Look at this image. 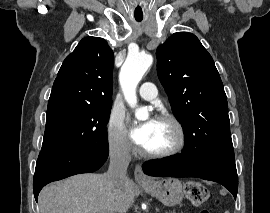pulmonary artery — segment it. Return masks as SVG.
<instances>
[{
	"instance_id": "1",
	"label": "pulmonary artery",
	"mask_w": 270,
	"mask_h": 213,
	"mask_svg": "<svg viewBox=\"0 0 270 213\" xmlns=\"http://www.w3.org/2000/svg\"><path fill=\"white\" fill-rule=\"evenodd\" d=\"M156 94L157 89L152 82H144L139 89V95L145 100H153L156 97Z\"/></svg>"
}]
</instances>
